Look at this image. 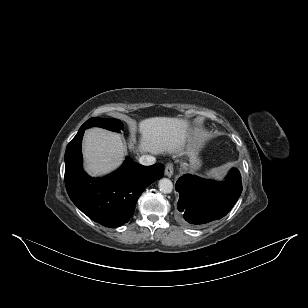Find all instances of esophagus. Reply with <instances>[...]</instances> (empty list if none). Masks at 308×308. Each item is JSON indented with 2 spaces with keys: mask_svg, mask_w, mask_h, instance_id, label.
Listing matches in <instances>:
<instances>
[{
  "mask_svg": "<svg viewBox=\"0 0 308 308\" xmlns=\"http://www.w3.org/2000/svg\"><path fill=\"white\" fill-rule=\"evenodd\" d=\"M174 172V167L172 163H167L165 166V175L167 177H171L173 175Z\"/></svg>",
  "mask_w": 308,
  "mask_h": 308,
  "instance_id": "esophagus-1",
  "label": "esophagus"
}]
</instances>
